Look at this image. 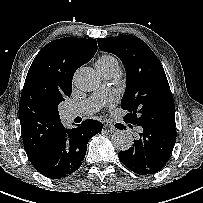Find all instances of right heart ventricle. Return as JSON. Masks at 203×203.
I'll list each match as a JSON object with an SVG mask.
<instances>
[{
  "label": "right heart ventricle",
  "instance_id": "e07e8e85",
  "mask_svg": "<svg viewBox=\"0 0 203 203\" xmlns=\"http://www.w3.org/2000/svg\"><path fill=\"white\" fill-rule=\"evenodd\" d=\"M98 70L102 74L117 75L119 72V61L118 59L110 54H104L100 56L96 62Z\"/></svg>",
  "mask_w": 203,
  "mask_h": 203
}]
</instances>
